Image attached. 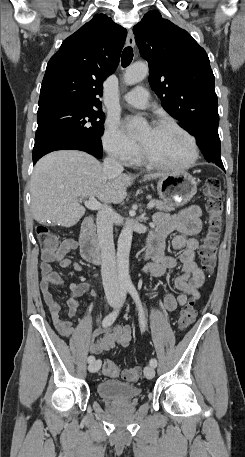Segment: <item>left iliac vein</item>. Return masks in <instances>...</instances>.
<instances>
[{"mask_svg":"<svg viewBox=\"0 0 245 457\" xmlns=\"http://www.w3.org/2000/svg\"><path fill=\"white\" fill-rule=\"evenodd\" d=\"M144 374L147 379H152L155 375L154 367L147 366L144 368Z\"/></svg>","mask_w":245,"mask_h":457,"instance_id":"4c4485c4","label":"left iliac vein"}]
</instances>
